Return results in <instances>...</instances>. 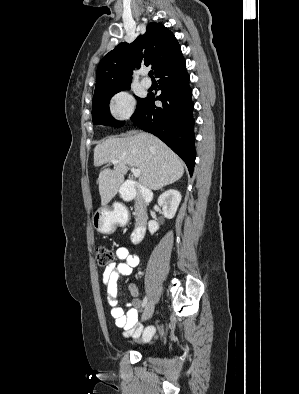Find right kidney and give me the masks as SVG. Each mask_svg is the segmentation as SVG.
Instances as JSON below:
<instances>
[{"instance_id":"obj_1","label":"right kidney","mask_w":299,"mask_h":394,"mask_svg":"<svg viewBox=\"0 0 299 394\" xmlns=\"http://www.w3.org/2000/svg\"><path fill=\"white\" fill-rule=\"evenodd\" d=\"M181 194L175 189H169L162 193L158 198V204L162 206L164 217L172 219L181 202ZM148 229L151 234H154L159 229V224L151 220L148 222Z\"/></svg>"}]
</instances>
